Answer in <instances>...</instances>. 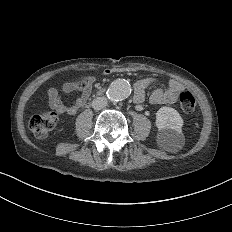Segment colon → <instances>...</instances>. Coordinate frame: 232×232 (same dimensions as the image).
<instances>
[{
    "mask_svg": "<svg viewBox=\"0 0 232 232\" xmlns=\"http://www.w3.org/2000/svg\"><path fill=\"white\" fill-rule=\"evenodd\" d=\"M80 89H85V84H80ZM193 94H182L178 97V102H183L181 106L182 114H195L196 102H192ZM60 119V114L56 110L50 112H37L31 120H27L29 131H35L34 137H48L51 125Z\"/></svg>",
    "mask_w": 232,
    "mask_h": 232,
    "instance_id": "5ec220e1",
    "label": "colon"
}]
</instances>
